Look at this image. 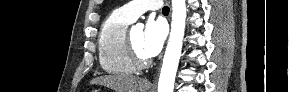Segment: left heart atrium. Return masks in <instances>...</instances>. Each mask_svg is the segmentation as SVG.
Listing matches in <instances>:
<instances>
[{
	"instance_id": "left-heart-atrium-1",
	"label": "left heart atrium",
	"mask_w": 289,
	"mask_h": 92,
	"mask_svg": "<svg viewBox=\"0 0 289 92\" xmlns=\"http://www.w3.org/2000/svg\"><path fill=\"white\" fill-rule=\"evenodd\" d=\"M166 35L167 28L162 20L150 18L147 21L143 35V49L149 58L159 54Z\"/></svg>"
}]
</instances>
